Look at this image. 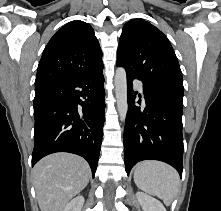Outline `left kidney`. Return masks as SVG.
I'll return each instance as SVG.
<instances>
[{
	"label": "left kidney",
	"instance_id": "5707ae66",
	"mask_svg": "<svg viewBox=\"0 0 221 211\" xmlns=\"http://www.w3.org/2000/svg\"><path fill=\"white\" fill-rule=\"evenodd\" d=\"M136 196L143 211H166L163 204L156 198H153L143 192H137Z\"/></svg>",
	"mask_w": 221,
	"mask_h": 211
}]
</instances>
